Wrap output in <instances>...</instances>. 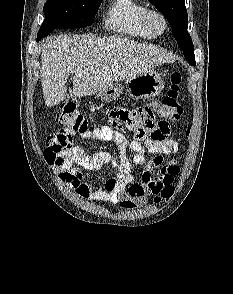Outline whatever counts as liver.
<instances>
[{"label": "liver", "instance_id": "1", "mask_svg": "<svg viewBox=\"0 0 233 294\" xmlns=\"http://www.w3.org/2000/svg\"><path fill=\"white\" fill-rule=\"evenodd\" d=\"M174 58L152 45L119 36L87 37L61 35L47 41L41 54V84L48 107L72 96H92L114 81L135 77ZM73 76V92L66 83Z\"/></svg>", "mask_w": 233, "mask_h": 294}]
</instances>
